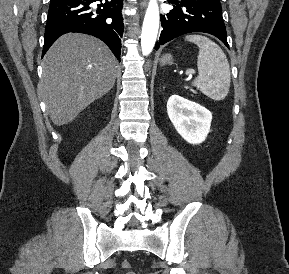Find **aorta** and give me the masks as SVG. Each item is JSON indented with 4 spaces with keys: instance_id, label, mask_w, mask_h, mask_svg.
Here are the masks:
<instances>
[{
    "instance_id": "aorta-1",
    "label": "aorta",
    "mask_w": 289,
    "mask_h": 274,
    "mask_svg": "<svg viewBox=\"0 0 289 274\" xmlns=\"http://www.w3.org/2000/svg\"><path fill=\"white\" fill-rule=\"evenodd\" d=\"M159 7L156 0H150L143 21L141 34V48L143 55L151 53L159 29Z\"/></svg>"
}]
</instances>
